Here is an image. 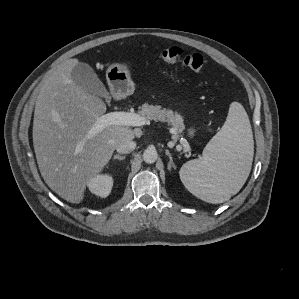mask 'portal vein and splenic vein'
<instances>
[{"label":"portal vein and splenic vein","mask_w":299,"mask_h":299,"mask_svg":"<svg viewBox=\"0 0 299 299\" xmlns=\"http://www.w3.org/2000/svg\"><path fill=\"white\" fill-rule=\"evenodd\" d=\"M146 123V120L135 114L130 112H110L102 115L97 119L95 124L89 130L88 136H94L97 133L101 132L105 127L110 125H124V126H142ZM82 150V145L79 144L76 147V152H80Z\"/></svg>","instance_id":"portal-vein-and-splenic-vein-1"}]
</instances>
